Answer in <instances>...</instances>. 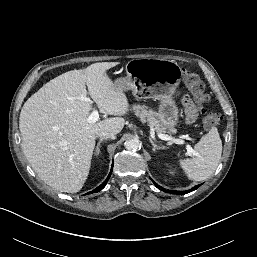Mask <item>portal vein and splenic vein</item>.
<instances>
[{
	"label": "portal vein and splenic vein",
	"instance_id": "1",
	"mask_svg": "<svg viewBox=\"0 0 257 257\" xmlns=\"http://www.w3.org/2000/svg\"><path fill=\"white\" fill-rule=\"evenodd\" d=\"M85 101L92 103V101L89 98H85ZM98 120H99V113L96 109H94L93 112L89 115L88 121L94 123ZM160 138L163 139V140H166V141H172L176 144H182L183 143L182 139L174 138V137L169 136V135L160 134ZM187 149L190 152H192V148L189 145L187 146Z\"/></svg>",
	"mask_w": 257,
	"mask_h": 257
}]
</instances>
